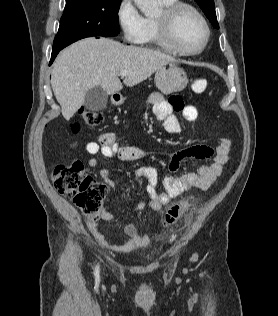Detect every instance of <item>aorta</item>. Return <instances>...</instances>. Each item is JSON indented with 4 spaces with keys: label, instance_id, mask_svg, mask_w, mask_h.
<instances>
[{
    "label": "aorta",
    "instance_id": "1",
    "mask_svg": "<svg viewBox=\"0 0 278 316\" xmlns=\"http://www.w3.org/2000/svg\"><path fill=\"white\" fill-rule=\"evenodd\" d=\"M134 2L145 16L155 15L159 11L156 0H134Z\"/></svg>",
    "mask_w": 278,
    "mask_h": 316
}]
</instances>
